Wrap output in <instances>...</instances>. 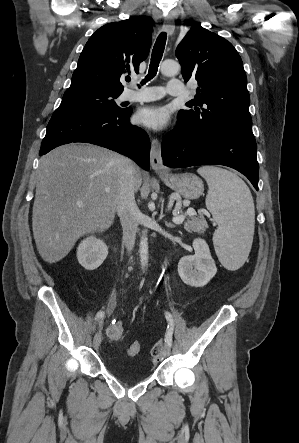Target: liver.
Here are the masks:
<instances>
[{
  "label": "liver",
  "mask_w": 299,
  "mask_h": 443,
  "mask_svg": "<svg viewBox=\"0 0 299 443\" xmlns=\"http://www.w3.org/2000/svg\"><path fill=\"white\" fill-rule=\"evenodd\" d=\"M129 162L110 150L75 143L60 146L40 159L32 230L44 261H60L81 236L111 226L122 170ZM135 168L138 189L142 172Z\"/></svg>",
  "instance_id": "liver-1"
}]
</instances>
